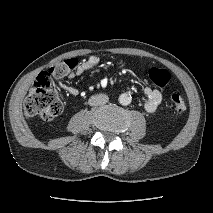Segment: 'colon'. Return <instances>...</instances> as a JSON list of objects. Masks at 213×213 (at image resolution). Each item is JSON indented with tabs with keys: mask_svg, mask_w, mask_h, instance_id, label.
Wrapping results in <instances>:
<instances>
[{
	"mask_svg": "<svg viewBox=\"0 0 213 213\" xmlns=\"http://www.w3.org/2000/svg\"><path fill=\"white\" fill-rule=\"evenodd\" d=\"M77 59L71 58L55 63L49 72L40 74L29 91L24 103V114L27 118H40L51 121L63 110V101L56 89L53 77L68 74L76 65ZM149 78L154 85L163 89L170 80V74L159 68L149 70ZM171 105L176 114H181L186 109L184 98L179 94H172Z\"/></svg>",
	"mask_w": 213,
	"mask_h": 213,
	"instance_id": "1",
	"label": "colon"
}]
</instances>
